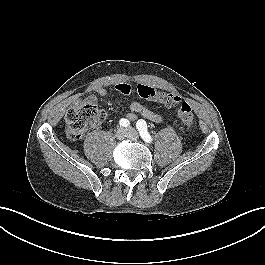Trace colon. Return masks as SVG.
Returning a JSON list of instances; mask_svg holds the SVG:
<instances>
[{
    "instance_id": "1",
    "label": "colon",
    "mask_w": 265,
    "mask_h": 265,
    "mask_svg": "<svg viewBox=\"0 0 265 265\" xmlns=\"http://www.w3.org/2000/svg\"><path fill=\"white\" fill-rule=\"evenodd\" d=\"M136 92L139 97L162 101L167 104L178 106V117L186 127H192L194 124V114L189 103L180 101V98L173 93L165 94L151 86L138 84ZM105 117V112L96 103L86 102L81 106L70 109L65 117L66 134L72 141L80 140L88 128L98 124Z\"/></svg>"
}]
</instances>
